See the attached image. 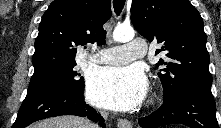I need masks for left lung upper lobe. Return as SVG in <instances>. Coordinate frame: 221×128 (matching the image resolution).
Wrapping results in <instances>:
<instances>
[{
  "label": "left lung upper lobe",
  "instance_id": "obj_1",
  "mask_svg": "<svg viewBox=\"0 0 221 128\" xmlns=\"http://www.w3.org/2000/svg\"><path fill=\"white\" fill-rule=\"evenodd\" d=\"M131 21L148 41L162 44L166 58L158 76L164 100L191 88L211 89L206 34L199 12L188 0H133Z\"/></svg>",
  "mask_w": 221,
  "mask_h": 128
}]
</instances>
